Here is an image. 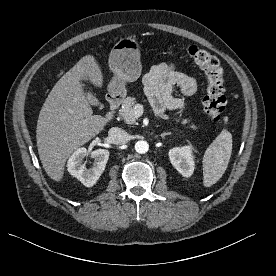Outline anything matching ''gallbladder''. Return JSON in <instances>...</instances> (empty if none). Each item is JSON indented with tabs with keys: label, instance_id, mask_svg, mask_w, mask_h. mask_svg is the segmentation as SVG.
<instances>
[{
	"label": "gallbladder",
	"instance_id": "bac80fb5",
	"mask_svg": "<svg viewBox=\"0 0 276 276\" xmlns=\"http://www.w3.org/2000/svg\"><path fill=\"white\" fill-rule=\"evenodd\" d=\"M85 96L92 105L98 104V99L90 91L86 92Z\"/></svg>",
	"mask_w": 276,
	"mask_h": 276
}]
</instances>
